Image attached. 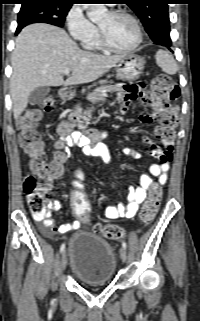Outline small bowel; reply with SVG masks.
Listing matches in <instances>:
<instances>
[{
  "label": "small bowel",
  "mask_w": 200,
  "mask_h": 321,
  "mask_svg": "<svg viewBox=\"0 0 200 321\" xmlns=\"http://www.w3.org/2000/svg\"><path fill=\"white\" fill-rule=\"evenodd\" d=\"M147 88V83L122 82L120 86L113 87L111 91H114L119 95V99L116 100V103L120 104L121 101L125 102L124 109H127L129 102L134 100L136 96H144V90H147ZM152 107L153 112L151 114L142 113L140 115V120L145 124H151L155 120L163 121L166 115L163 105L159 103H153ZM155 134L157 137L161 138L160 126L155 129ZM107 136L108 131L106 130H73L72 123L61 127L59 140L56 143L54 151V161H56L61 168V172L56 179H58L63 172V163L67 157L65 146L79 147L81 148L83 154L87 156L109 158L108 151L102 145V140ZM142 140L149 146V154L157 161L149 166V173H145L140 176L139 184L137 186L128 187L126 204L118 203L105 208L104 215L108 219L116 220L121 218H134L138 212L140 204L145 201L148 192L152 189V177H156L160 184H165L167 182L169 162L171 160L167 157V149L170 146L171 151H173V142L168 143L165 139H163L164 149H162L147 136H143ZM123 153L133 159H139L141 157V154L137 150L129 147L124 148ZM47 207L49 210H57L60 208V202L56 199L48 200ZM36 219L42 222L41 230L47 235H53L55 233L64 234L80 227V223L76 220L56 226L55 221L50 213H47L43 217H36Z\"/></svg>",
  "instance_id": "small-bowel-1"
}]
</instances>
